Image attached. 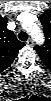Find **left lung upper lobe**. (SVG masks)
<instances>
[{
	"instance_id": "left-lung-upper-lobe-1",
	"label": "left lung upper lobe",
	"mask_w": 51,
	"mask_h": 101,
	"mask_svg": "<svg viewBox=\"0 0 51 101\" xmlns=\"http://www.w3.org/2000/svg\"><path fill=\"white\" fill-rule=\"evenodd\" d=\"M40 21L43 25L45 33V42L41 46H35L34 50L38 53L41 61L47 66L51 67V11H45L40 16Z\"/></svg>"
}]
</instances>
